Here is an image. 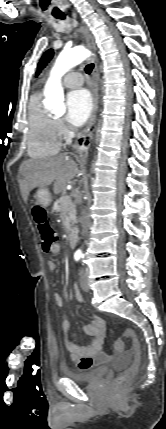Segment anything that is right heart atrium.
<instances>
[{
    "label": "right heart atrium",
    "instance_id": "obj_1",
    "mask_svg": "<svg viewBox=\"0 0 166 429\" xmlns=\"http://www.w3.org/2000/svg\"><path fill=\"white\" fill-rule=\"evenodd\" d=\"M54 125H55V128H56L58 133L64 132L65 127H64V124L61 120H59V119L54 120Z\"/></svg>",
    "mask_w": 166,
    "mask_h": 429
}]
</instances>
